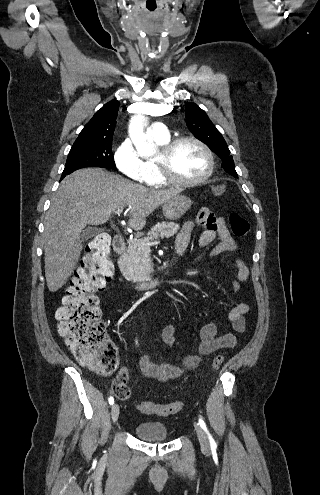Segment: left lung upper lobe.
Wrapping results in <instances>:
<instances>
[{
	"mask_svg": "<svg viewBox=\"0 0 320 495\" xmlns=\"http://www.w3.org/2000/svg\"><path fill=\"white\" fill-rule=\"evenodd\" d=\"M185 115L187 125L194 136L220 157L223 161L222 167L227 173L237 178L233 157L230 155L227 143L205 111L195 103H186Z\"/></svg>",
	"mask_w": 320,
	"mask_h": 495,
	"instance_id": "1",
	"label": "left lung upper lobe"
}]
</instances>
